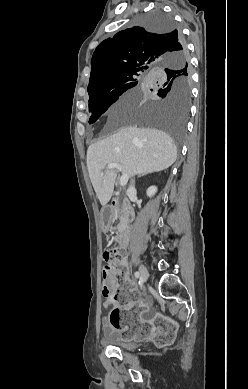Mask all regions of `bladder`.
Listing matches in <instances>:
<instances>
[{"label": "bladder", "mask_w": 248, "mask_h": 389, "mask_svg": "<svg viewBox=\"0 0 248 389\" xmlns=\"http://www.w3.org/2000/svg\"><path fill=\"white\" fill-rule=\"evenodd\" d=\"M102 342L108 346H113L126 351L135 350L139 346L136 340L125 339L121 332L115 330L113 332L105 333L102 337Z\"/></svg>", "instance_id": "bladder-1"}]
</instances>
